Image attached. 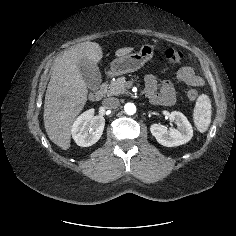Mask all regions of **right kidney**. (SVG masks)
<instances>
[{
    "mask_svg": "<svg viewBox=\"0 0 236 236\" xmlns=\"http://www.w3.org/2000/svg\"><path fill=\"white\" fill-rule=\"evenodd\" d=\"M105 126L103 116H94V109L81 114L73 123L71 133L74 141L81 147L95 144L101 137Z\"/></svg>",
    "mask_w": 236,
    "mask_h": 236,
    "instance_id": "obj_1",
    "label": "right kidney"
}]
</instances>
